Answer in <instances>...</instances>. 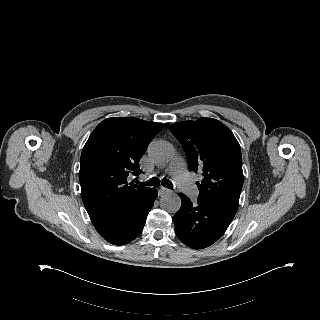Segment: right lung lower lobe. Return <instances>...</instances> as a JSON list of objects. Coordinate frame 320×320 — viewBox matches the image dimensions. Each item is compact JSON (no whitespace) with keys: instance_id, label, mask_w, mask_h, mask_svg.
<instances>
[{"instance_id":"right-lung-lower-lobe-1","label":"right lung lower lobe","mask_w":320,"mask_h":320,"mask_svg":"<svg viewBox=\"0 0 320 320\" xmlns=\"http://www.w3.org/2000/svg\"><path fill=\"white\" fill-rule=\"evenodd\" d=\"M157 196L155 188L149 189L128 207L91 221L99 234L109 243L124 245L140 235Z\"/></svg>"}]
</instances>
